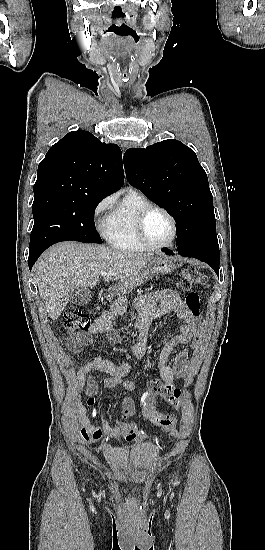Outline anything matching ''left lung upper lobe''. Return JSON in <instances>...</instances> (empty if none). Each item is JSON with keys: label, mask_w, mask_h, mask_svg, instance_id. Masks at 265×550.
Masks as SVG:
<instances>
[{"label": "left lung upper lobe", "mask_w": 265, "mask_h": 550, "mask_svg": "<svg viewBox=\"0 0 265 550\" xmlns=\"http://www.w3.org/2000/svg\"><path fill=\"white\" fill-rule=\"evenodd\" d=\"M123 162L129 183L174 217L179 253L211 251L219 256L213 197L193 150L169 139L145 149L130 148Z\"/></svg>", "instance_id": "obj_1"}]
</instances>
